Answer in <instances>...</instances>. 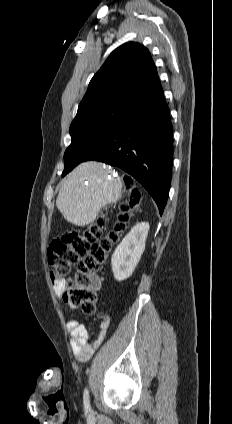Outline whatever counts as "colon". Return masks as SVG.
I'll return each mask as SVG.
<instances>
[{
  "label": "colon",
  "mask_w": 232,
  "mask_h": 424,
  "mask_svg": "<svg viewBox=\"0 0 232 424\" xmlns=\"http://www.w3.org/2000/svg\"><path fill=\"white\" fill-rule=\"evenodd\" d=\"M140 199L138 189L129 190L115 231L110 233L107 239L99 241L106 224L105 217L101 216L83 232H73L62 239L53 241L48 248L47 258L52 268L51 280L62 284L67 289L70 303L80 307L85 314H94L96 310L97 278L95 273L105 262L107 253L118 240L119 233L126 229ZM75 266L78 268L74 277L67 279Z\"/></svg>",
  "instance_id": "1"
}]
</instances>
